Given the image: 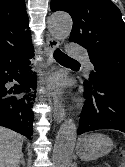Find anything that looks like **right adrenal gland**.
<instances>
[{"instance_id":"obj_1","label":"right adrenal gland","mask_w":125,"mask_h":167,"mask_svg":"<svg viewBox=\"0 0 125 167\" xmlns=\"http://www.w3.org/2000/svg\"><path fill=\"white\" fill-rule=\"evenodd\" d=\"M21 164L23 165V167H25V160H24L23 153L21 154V158H20V161H19L17 167H20Z\"/></svg>"}]
</instances>
